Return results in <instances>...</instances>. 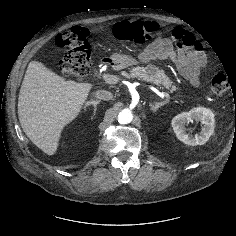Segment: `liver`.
<instances>
[{
  "mask_svg": "<svg viewBox=\"0 0 236 236\" xmlns=\"http://www.w3.org/2000/svg\"><path fill=\"white\" fill-rule=\"evenodd\" d=\"M93 87L66 80L43 63L31 61L18 97L24 133L43 152L55 154L63 129L78 117Z\"/></svg>",
  "mask_w": 236,
  "mask_h": 236,
  "instance_id": "1",
  "label": "liver"
}]
</instances>
